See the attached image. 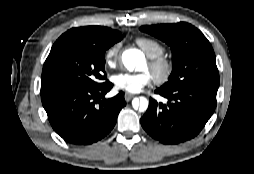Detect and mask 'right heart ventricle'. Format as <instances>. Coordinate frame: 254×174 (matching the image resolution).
Listing matches in <instances>:
<instances>
[{
	"label": "right heart ventricle",
	"instance_id": "obj_1",
	"mask_svg": "<svg viewBox=\"0 0 254 174\" xmlns=\"http://www.w3.org/2000/svg\"><path fill=\"white\" fill-rule=\"evenodd\" d=\"M135 43L144 51L148 58L158 57L165 52L163 44L151 37H138L135 39Z\"/></svg>",
	"mask_w": 254,
	"mask_h": 174
}]
</instances>
